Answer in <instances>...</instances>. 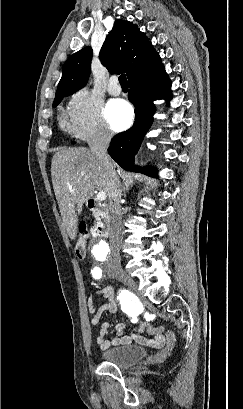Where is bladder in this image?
<instances>
[{"label":"bladder","instance_id":"bladder-1","mask_svg":"<svg viewBox=\"0 0 243 409\" xmlns=\"http://www.w3.org/2000/svg\"><path fill=\"white\" fill-rule=\"evenodd\" d=\"M147 355V351L138 345H121L108 348L102 351V358L105 362L115 365L119 368L131 367Z\"/></svg>","mask_w":243,"mask_h":409}]
</instances>
